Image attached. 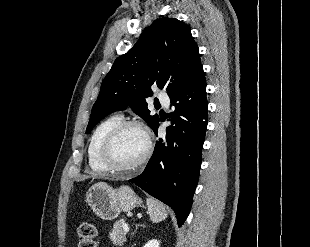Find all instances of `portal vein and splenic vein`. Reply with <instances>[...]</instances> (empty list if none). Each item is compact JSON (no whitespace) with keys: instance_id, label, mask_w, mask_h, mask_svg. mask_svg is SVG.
Instances as JSON below:
<instances>
[{"instance_id":"18ae733b","label":"portal vein and splenic vein","mask_w":310,"mask_h":247,"mask_svg":"<svg viewBox=\"0 0 310 247\" xmlns=\"http://www.w3.org/2000/svg\"><path fill=\"white\" fill-rule=\"evenodd\" d=\"M123 230H124L125 232H129V227H128L127 224H124V225H123Z\"/></svg>"}]
</instances>
